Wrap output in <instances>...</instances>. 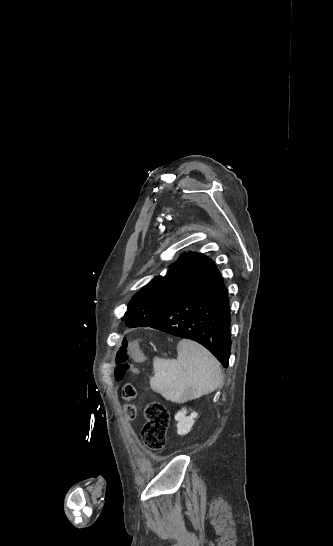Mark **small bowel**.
<instances>
[{
	"mask_svg": "<svg viewBox=\"0 0 333 546\" xmlns=\"http://www.w3.org/2000/svg\"><path fill=\"white\" fill-rule=\"evenodd\" d=\"M131 361L135 365H144L146 362V357L144 354V350L142 347V341L136 340L135 345L130 347L129 350ZM124 409L127 410L125 413L128 416V420L131 421L135 416V414L138 412V409L134 406L132 403H126L122 406Z\"/></svg>",
	"mask_w": 333,
	"mask_h": 546,
	"instance_id": "1",
	"label": "small bowel"
}]
</instances>
